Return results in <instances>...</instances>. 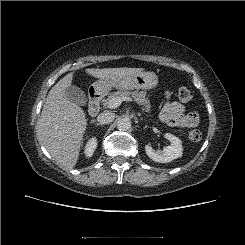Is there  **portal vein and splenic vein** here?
I'll return each instance as SVG.
<instances>
[{
	"mask_svg": "<svg viewBox=\"0 0 245 245\" xmlns=\"http://www.w3.org/2000/svg\"><path fill=\"white\" fill-rule=\"evenodd\" d=\"M123 101H130V102H132L133 100L130 97H117V98H113L109 102V106L108 107L111 108V109H115L118 106H120Z\"/></svg>",
	"mask_w": 245,
	"mask_h": 245,
	"instance_id": "portal-vein-and-splenic-vein-1",
	"label": "portal vein and splenic vein"
}]
</instances>
